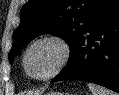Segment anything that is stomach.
Returning <instances> with one entry per match:
<instances>
[{
    "label": "stomach",
    "instance_id": "stomach-1",
    "mask_svg": "<svg viewBox=\"0 0 119 95\" xmlns=\"http://www.w3.org/2000/svg\"><path fill=\"white\" fill-rule=\"evenodd\" d=\"M46 95H63L62 93H57V92H50L47 93Z\"/></svg>",
    "mask_w": 119,
    "mask_h": 95
}]
</instances>
